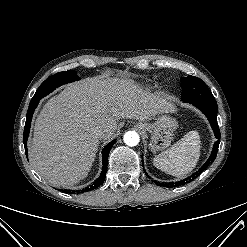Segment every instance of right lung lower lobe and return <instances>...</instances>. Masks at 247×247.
<instances>
[{
    "instance_id": "obj_1",
    "label": "right lung lower lobe",
    "mask_w": 247,
    "mask_h": 247,
    "mask_svg": "<svg viewBox=\"0 0 247 247\" xmlns=\"http://www.w3.org/2000/svg\"><path fill=\"white\" fill-rule=\"evenodd\" d=\"M38 103H39V101H31L30 104H29L28 111H27L26 123H25L24 134H23V142H24L26 156H27V139H28V135H29V131H30L31 119H32V115H33L34 110L37 107ZM115 141L116 140L114 139L109 144H107L106 147L102 151V156H103L102 164H103V167H102V172H101L99 178L91 186H89V187H87L85 189H82L81 193L96 189L101 184H103L104 179H105V175H106V172H107V162H108L109 152H110L111 148L113 147ZM65 192L72 193L74 191L65 190Z\"/></svg>"
}]
</instances>
